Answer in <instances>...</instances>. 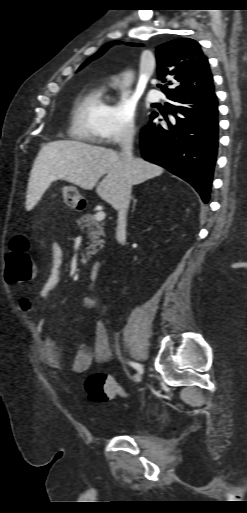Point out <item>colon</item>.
<instances>
[{
  "label": "colon",
  "mask_w": 247,
  "mask_h": 513,
  "mask_svg": "<svg viewBox=\"0 0 247 513\" xmlns=\"http://www.w3.org/2000/svg\"><path fill=\"white\" fill-rule=\"evenodd\" d=\"M36 270L29 254V242L24 236H16L11 241L7 254L5 279L10 284L30 281ZM85 390L91 401L106 403L115 397H128V393L107 373L96 372L85 381Z\"/></svg>",
  "instance_id": "5ec220e1"
}]
</instances>
